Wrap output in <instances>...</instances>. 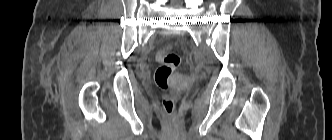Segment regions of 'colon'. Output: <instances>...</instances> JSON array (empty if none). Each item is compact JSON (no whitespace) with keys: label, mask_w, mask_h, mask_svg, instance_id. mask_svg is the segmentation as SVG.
Masks as SVG:
<instances>
[{"label":"colon","mask_w":332,"mask_h":140,"mask_svg":"<svg viewBox=\"0 0 332 140\" xmlns=\"http://www.w3.org/2000/svg\"><path fill=\"white\" fill-rule=\"evenodd\" d=\"M156 60L159 67L155 71V82L160 89L171 93L163 100V108L167 115L173 116L176 108V97L180 95V90L173 86L171 79L179 67L181 59L177 53L163 49L157 53Z\"/></svg>","instance_id":"obj_1"}]
</instances>
